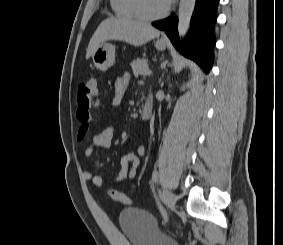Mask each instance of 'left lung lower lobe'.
Here are the masks:
<instances>
[{
    "label": "left lung lower lobe",
    "instance_id": "obj_1",
    "mask_svg": "<svg viewBox=\"0 0 283 245\" xmlns=\"http://www.w3.org/2000/svg\"><path fill=\"white\" fill-rule=\"evenodd\" d=\"M219 0H196L191 19V29L186 39L180 44L177 21L172 14L167 19L153 22V26L164 30L176 49L184 56L193 59L206 73L213 64V46L215 45L214 24Z\"/></svg>",
    "mask_w": 283,
    "mask_h": 245
}]
</instances>
